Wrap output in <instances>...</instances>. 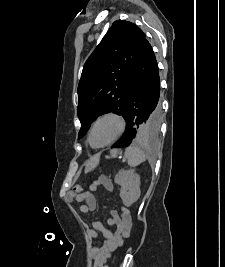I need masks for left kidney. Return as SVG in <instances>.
Segmentation results:
<instances>
[{
    "label": "left kidney",
    "instance_id": "1",
    "mask_svg": "<svg viewBox=\"0 0 225 267\" xmlns=\"http://www.w3.org/2000/svg\"><path fill=\"white\" fill-rule=\"evenodd\" d=\"M115 183L121 186L120 197L130 207L140 197V176L134 170H122L115 176Z\"/></svg>",
    "mask_w": 225,
    "mask_h": 267
}]
</instances>
